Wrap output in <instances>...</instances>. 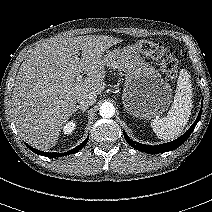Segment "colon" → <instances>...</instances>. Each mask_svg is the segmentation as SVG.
Returning a JSON list of instances; mask_svg holds the SVG:
<instances>
[{
    "label": "colon",
    "mask_w": 212,
    "mask_h": 212,
    "mask_svg": "<svg viewBox=\"0 0 212 212\" xmlns=\"http://www.w3.org/2000/svg\"><path fill=\"white\" fill-rule=\"evenodd\" d=\"M136 48L142 54L156 60L168 79H175L178 72V60L169 47L150 40H141L136 43Z\"/></svg>",
    "instance_id": "1"
}]
</instances>
